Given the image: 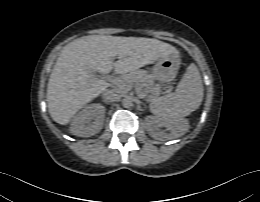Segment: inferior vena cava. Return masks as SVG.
<instances>
[{"mask_svg":"<svg viewBox=\"0 0 260 202\" xmlns=\"http://www.w3.org/2000/svg\"><path fill=\"white\" fill-rule=\"evenodd\" d=\"M103 99L107 102H116L121 97V92H119L116 88L107 89L103 92Z\"/></svg>","mask_w":260,"mask_h":202,"instance_id":"602c4592","label":"inferior vena cava"}]
</instances>
